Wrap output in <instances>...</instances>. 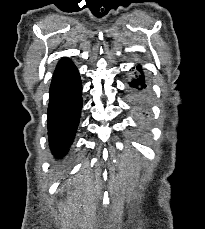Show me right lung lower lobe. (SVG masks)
<instances>
[{
    "label": "right lung lower lobe",
    "mask_w": 205,
    "mask_h": 229,
    "mask_svg": "<svg viewBox=\"0 0 205 229\" xmlns=\"http://www.w3.org/2000/svg\"><path fill=\"white\" fill-rule=\"evenodd\" d=\"M82 108V85L76 66L62 58L56 66L48 106V136L53 154L65 155L73 142Z\"/></svg>",
    "instance_id": "98d812e1"
}]
</instances>
